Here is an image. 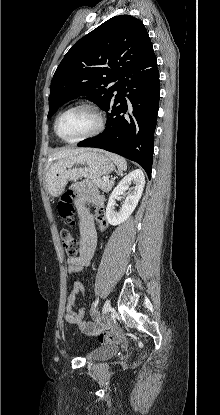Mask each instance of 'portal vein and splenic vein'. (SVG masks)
<instances>
[{"label":"portal vein and splenic vein","mask_w":220,"mask_h":415,"mask_svg":"<svg viewBox=\"0 0 220 415\" xmlns=\"http://www.w3.org/2000/svg\"><path fill=\"white\" fill-rule=\"evenodd\" d=\"M104 181H109V177H103Z\"/></svg>","instance_id":"18ae733b"}]
</instances>
